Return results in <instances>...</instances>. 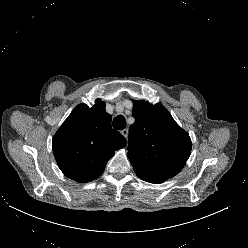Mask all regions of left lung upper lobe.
I'll return each instance as SVG.
<instances>
[{
	"instance_id": "obj_1",
	"label": "left lung upper lobe",
	"mask_w": 248,
	"mask_h": 248,
	"mask_svg": "<svg viewBox=\"0 0 248 248\" xmlns=\"http://www.w3.org/2000/svg\"><path fill=\"white\" fill-rule=\"evenodd\" d=\"M128 158L137 176L163 183L177 175L191 153V139L160 103L134 101Z\"/></svg>"
}]
</instances>
